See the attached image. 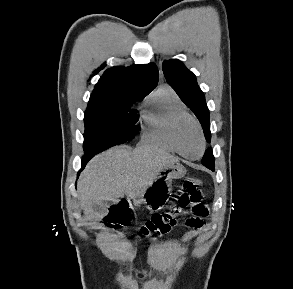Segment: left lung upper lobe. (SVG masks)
Returning <instances> with one entry per match:
<instances>
[{
    "label": "left lung upper lobe",
    "instance_id": "left-lung-upper-lobe-1",
    "mask_svg": "<svg viewBox=\"0 0 293 289\" xmlns=\"http://www.w3.org/2000/svg\"><path fill=\"white\" fill-rule=\"evenodd\" d=\"M162 69L168 84L196 115L202 125L206 140L210 142L209 110L205 102L204 93L197 84L196 76L181 61L175 59L164 61ZM202 164L214 171L212 148H208L205 151Z\"/></svg>",
    "mask_w": 293,
    "mask_h": 289
}]
</instances>
